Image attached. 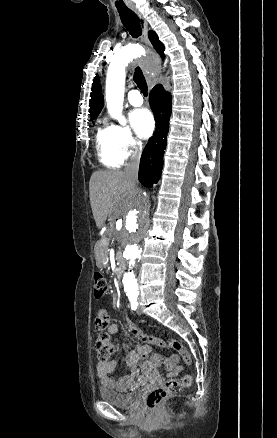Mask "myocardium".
Returning <instances> with one entry per match:
<instances>
[{"label": "myocardium", "instance_id": "f54148a6", "mask_svg": "<svg viewBox=\"0 0 277 438\" xmlns=\"http://www.w3.org/2000/svg\"><path fill=\"white\" fill-rule=\"evenodd\" d=\"M146 50H151V49L146 46Z\"/></svg>", "mask_w": 277, "mask_h": 438}]
</instances>
